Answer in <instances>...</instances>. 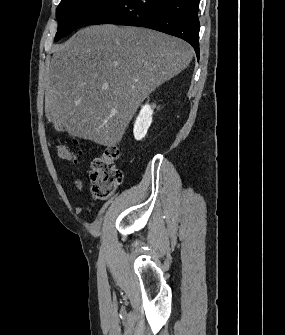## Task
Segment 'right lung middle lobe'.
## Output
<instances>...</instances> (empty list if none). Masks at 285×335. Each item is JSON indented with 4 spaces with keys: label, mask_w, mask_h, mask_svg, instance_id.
Wrapping results in <instances>:
<instances>
[{
    "label": "right lung middle lobe",
    "mask_w": 285,
    "mask_h": 335,
    "mask_svg": "<svg viewBox=\"0 0 285 335\" xmlns=\"http://www.w3.org/2000/svg\"><path fill=\"white\" fill-rule=\"evenodd\" d=\"M116 0H62L56 9L58 29L55 41L67 36Z\"/></svg>",
    "instance_id": "right-lung-middle-lobe-1"
}]
</instances>
